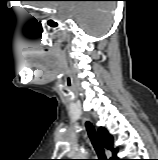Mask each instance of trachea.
Here are the masks:
<instances>
[{"instance_id":"3493384b","label":"trachea","mask_w":158,"mask_h":160,"mask_svg":"<svg viewBox=\"0 0 158 160\" xmlns=\"http://www.w3.org/2000/svg\"><path fill=\"white\" fill-rule=\"evenodd\" d=\"M86 129H87L88 135L90 137V140L92 142V145H93V147L99 157V159H97V160H107L106 156H105L104 149L102 147V144L100 143L99 139L97 138L96 131L90 122H86Z\"/></svg>"}]
</instances>
